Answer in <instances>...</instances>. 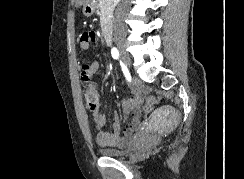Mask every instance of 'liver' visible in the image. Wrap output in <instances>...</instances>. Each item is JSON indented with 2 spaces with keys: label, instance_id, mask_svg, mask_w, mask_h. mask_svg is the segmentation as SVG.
I'll return each mask as SVG.
<instances>
[{
  "label": "liver",
  "instance_id": "liver-1",
  "mask_svg": "<svg viewBox=\"0 0 244 179\" xmlns=\"http://www.w3.org/2000/svg\"><path fill=\"white\" fill-rule=\"evenodd\" d=\"M84 2H89V0H75V6L78 8V6H82Z\"/></svg>",
  "mask_w": 244,
  "mask_h": 179
}]
</instances>
